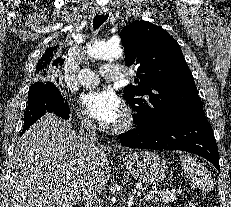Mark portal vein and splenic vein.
<instances>
[{
    "label": "portal vein and splenic vein",
    "instance_id": "portal-vein-and-splenic-vein-1",
    "mask_svg": "<svg viewBox=\"0 0 231 207\" xmlns=\"http://www.w3.org/2000/svg\"><path fill=\"white\" fill-rule=\"evenodd\" d=\"M153 197H154V194L150 192L145 198L150 199ZM127 204H128V207H131L133 205V196L129 198Z\"/></svg>",
    "mask_w": 231,
    "mask_h": 207
}]
</instances>
